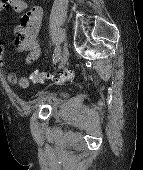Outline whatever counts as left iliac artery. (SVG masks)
I'll use <instances>...</instances> for the list:
<instances>
[{
  "label": "left iliac artery",
  "instance_id": "obj_1",
  "mask_svg": "<svg viewBox=\"0 0 143 170\" xmlns=\"http://www.w3.org/2000/svg\"><path fill=\"white\" fill-rule=\"evenodd\" d=\"M60 48L57 47L54 51V55H53V63H56L59 59H60Z\"/></svg>",
  "mask_w": 143,
  "mask_h": 170
}]
</instances>
